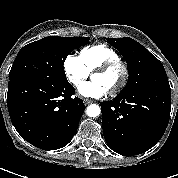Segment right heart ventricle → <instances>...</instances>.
Segmentation results:
<instances>
[{
  "label": "right heart ventricle",
  "instance_id": "right-heart-ventricle-1",
  "mask_svg": "<svg viewBox=\"0 0 178 178\" xmlns=\"http://www.w3.org/2000/svg\"><path fill=\"white\" fill-rule=\"evenodd\" d=\"M79 57L89 72L111 60H117L119 54L105 44L88 45L81 49Z\"/></svg>",
  "mask_w": 178,
  "mask_h": 178
}]
</instances>
